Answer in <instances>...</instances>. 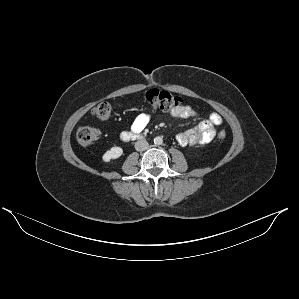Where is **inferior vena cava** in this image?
<instances>
[{
  "mask_svg": "<svg viewBox=\"0 0 299 299\" xmlns=\"http://www.w3.org/2000/svg\"><path fill=\"white\" fill-rule=\"evenodd\" d=\"M148 147H149V144L146 140H139L135 143V149L140 152L147 150Z\"/></svg>",
  "mask_w": 299,
  "mask_h": 299,
  "instance_id": "obj_1",
  "label": "inferior vena cava"
}]
</instances>
